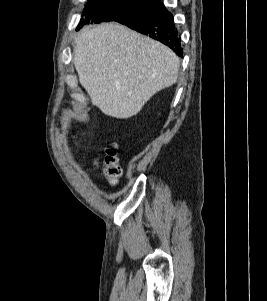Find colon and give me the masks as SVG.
Segmentation results:
<instances>
[{
  "mask_svg": "<svg viewBox=\"0 0 267 301\" xmlns=\"http://www.w3.org/2000/svg\"><path fill=\"white\" fill-rule=\"evenodd\" d=\"M102 167L109 183L115 185L122 174V169L119 165L116 147L114 145L106 150L105 157L102 161Z\"/></svg>",
  "mask_w": 267,
  "mask_h": 301,
  "instance_id": "1",
  "label": "colon"
}]
</instances>
